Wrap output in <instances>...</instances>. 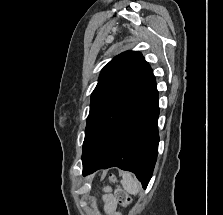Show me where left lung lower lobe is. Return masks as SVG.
Here are the masks:
<instances>
[{
  "label": "left lung lower lobe",
  "mask_w": 223,
  "mask_h": 215,
  "mask_svg": "<svg viewBox=\"0 0 223 215\" xmlns=\"http://www.w3.org/2000/svg\"><path fill=\"white\" fill-rule=\"evenodd\" d=\"M158 116V91L154 82L112 128L93 158L83 166V175L119 167L133 172L146 188L158 154Z\"/></svg>",
  "instance_id": "1"
}]
</instances>
